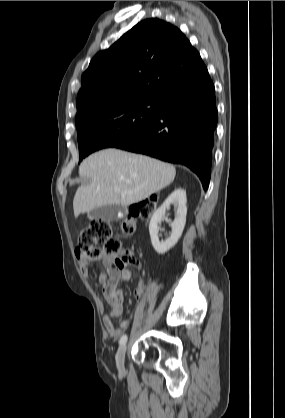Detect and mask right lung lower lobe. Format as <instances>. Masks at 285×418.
I'll return each instance as SVG.
<instances>
[{"instance_id":"obj_1","label":"right lung lower lobe","mask_w":285,"mask_h":418,"mask_svg":"<svg viewBox=\"0 0 285 418\" xmlns=\"http://www.w3.org/2000/svg\"><path fill=\"white\" fill-rule=\"evenodd\" d=\"M217 126L214 84L208 72L159 104L156 118L116 148L189 167L209 186Z\"/></svg>"}]
</instances>
